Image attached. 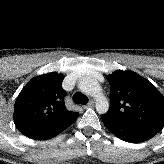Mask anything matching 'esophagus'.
Listing matches in <instances>:
<instances>
[{
  "instance_id": "1",
  "label": "esophagus",
  "mask_w": 164,
  "mask_h": 164,
  "mask_svg": "<svg viewBox=\"0 0 164 164\" xmlns=\"http://www.w3.org/2000/svg\"><path fill=\"white\" fill-rule=\"evenodd\" d=\"M93 106H94V101L91 100V101H89V103L87 105L83 106V108L87 109V108H90V107H93Z\"/></svg>"
}]
</instances>
